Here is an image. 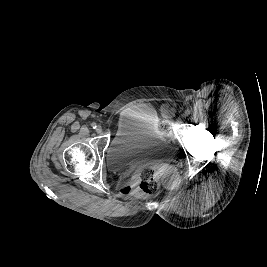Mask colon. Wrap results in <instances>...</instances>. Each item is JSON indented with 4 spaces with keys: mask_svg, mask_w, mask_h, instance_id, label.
<instances>
[{
    "mask_svg": "<svg viewBox=\"0 0 267 267\" xmlns=\"http://www.w3.org/2000/svg\"><path fill=\"white\" fill-rule=\"evenodd\" d=\"M160 183L154 167H143L136 178L135 193L140 195H155L159 191ZM128 192L131 188H128Z\"/></svg>",
    "mask_w": 267,
    "mask_h": 267,
    "instance_id": "1",
    "label": "colon"
}]
</instances>
